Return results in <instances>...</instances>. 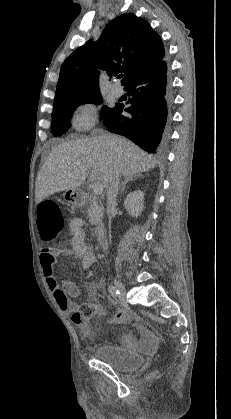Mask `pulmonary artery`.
Here are the masks:
<instances>
[{"label":"pulmonary artery","mask_w":231,"mask_h":419,"mask_svg":"<svg viewBox=\"0 0 231 419\" xmlns=\"http://www.w3.org/2000/svg\"><path fill=\"white\" fill-rule=\"evenodd\" d=\"M111 93L114 97L119 98L124 94V90L121 85L116 83L112 86Z\"/></svg>","instance_id":"e3ab8cb5"}]
</instances>
